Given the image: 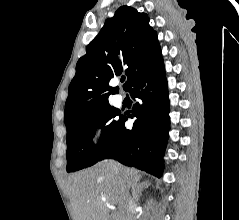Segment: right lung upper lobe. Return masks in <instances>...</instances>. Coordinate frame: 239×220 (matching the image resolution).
Returning <instances> with one entry per match:
<instances>
[{
    "label": "right lung upper lobe",
    "instance_id": "1",
    "mask_svg": "<svg viewBox=\"0 0 239 220\" xmlns=\"http://www.w3.org/2000/svg\"><path fill=\"white\" fill-rule=\"evenodd\" d=\"M162 60L157 33L149 25L147 14L130 6L120 7L77 62L65 103L67 129L83 115L109 105V95L117 90L109 87L111 78L124 72L127 81L123 87L127 90L137 77Z\"/></svg>",
    "mask_w": 239,
    "mask_h": 220
}]
</instances>
